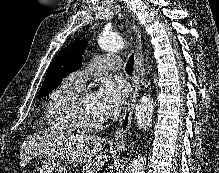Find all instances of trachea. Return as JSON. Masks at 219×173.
<instances>
[{
	"instance_id": "obj_1",
	"label": "trachea",
	"mask_w": 219,
	"mask_h": 173,
	"mask_svg": "<svg viewBox=\"0 0 219 173\" xmlns=\"http://www.w3.org/2000/svg\"><path fill=\"white\" fill-rule=\"evenodd\" d=\"M133 67H134V54H132L126 64V72L128 74H132L133 72Z\"/></svg>"
}]
</instances>
